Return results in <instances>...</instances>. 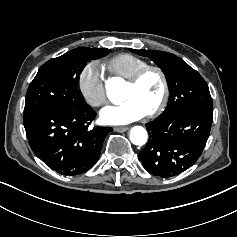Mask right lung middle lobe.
<instances>
[{
	"label": "right lung middle lobe",
	"mask_w": 237,
	"mask_h": 237,
	"mask_svg": "<svg viewBox=\"0 0 237 237\" xmlns=\"http://www.w3.org/2000/svg\"><path fill=\"white\" fill-rule=\"evenodd\" d=\"M108 53L79 47L43 64L29 85L24 117L48 108L85 104L78 91L79 75L87 62Z\"/></svg>",
	"instance_id": "1"
}]
</instances>
